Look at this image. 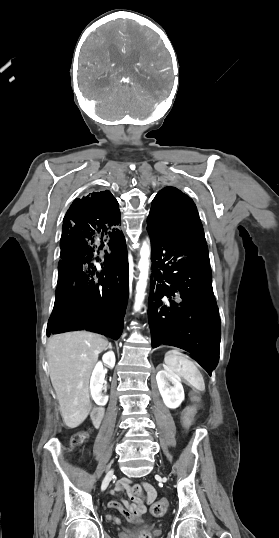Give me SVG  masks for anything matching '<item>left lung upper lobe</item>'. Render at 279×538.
I'll use <instances>...</instances> for the list:
<instances>
[{"instance_id": "obj_1", "label": "left lung upper lobe", "mask_w": 279, "mask_h": 538, "mask_svg": "<svg viewBox=\"0 0 279 538\" xmlns=\"http://www.w3.org/2000/svg\"><path fill=\"white\" fill-rule=\"evenodd\" d=\"M147 230L175 242L206 244L204 230L192 199L175 187H165L152 201Z\"/></svg>"}]
</instances>
